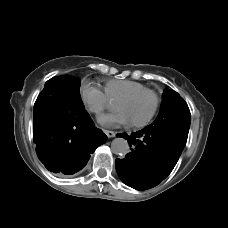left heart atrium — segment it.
Segmentation results:
<instances>
[{"instance_id": "left-heart-atrium-1", "label": "left heart atrium", "mask_w": 228, "mask_h": 228, "mask_svg": "<svg viewBox=\"0 0 228 228\" xmlns=\"http://www.w3.org/2000/svg\"><path fill=\"white\" fill-rule=\"evenodd\" d=\"M122 114H123V113H122ZM115 116L118 117L122 123H125V122L127 121V117H126V115H124V114H123L122 117H119V115H117V114H116Z\"/></svg>"}]
</instances>
